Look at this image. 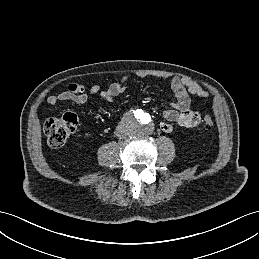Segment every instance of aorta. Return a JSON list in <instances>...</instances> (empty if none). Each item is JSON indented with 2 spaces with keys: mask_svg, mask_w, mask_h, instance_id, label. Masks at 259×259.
<instances>
[{
  "mask_svg": "<svg viewBox=\"0 0 259 259\" xmlns=\"http://www.w3.org/2000/svg\"><path fill=\"white\" fill-rule=\"evenodd\" d=\"M128 133L135 137H146L153 131L152 114L145 109L130 112L126 120Z\"/></svg>",
  "mask_w": 259,
  "mask_h": 259,
  "instance_id": "1",
  "label": "aorta"
}]
</instances>
